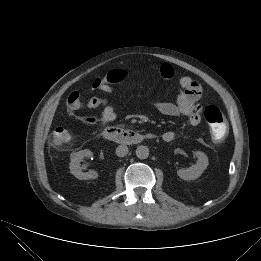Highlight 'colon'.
<instances>
[{"label":"colon","instance_id":"1","mask_svg":"<svg viewBox=\"0 0 261 261\" xmlns=\"http://www.w3.org/2000/svg\"><path fill=\"white\" fill-rule=\"evenodd\" d=\"M126 76L124 70H109L102 79H97L93 83V88L97 89L102 83L115 84L121 82ZM205 119L209 125L212 138L215 142H221L228 133V123L222 111L215 105H209L204 111ZM71 141L70 132L57 127L51 137V143L55 146L68 144Z\"/></svg>","mask_w":261,"mask_h":261}]
</instances>
